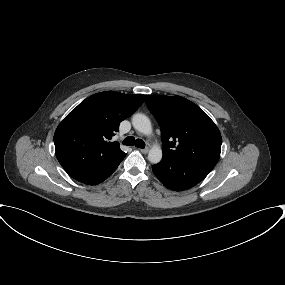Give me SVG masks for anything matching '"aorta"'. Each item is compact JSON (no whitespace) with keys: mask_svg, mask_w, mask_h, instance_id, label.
I'll return each instance as SVG.
<instances>
[{"mask_svg":"<svg viewBox=\"0 0 285 285\" xmlns=\"http://www.w3.org/2000/svg\"><path fill=\"white\" fill-rule=\"evenodd\" d=\"M132 125L133 127L140 133L144 135H150L152 133V125L150 119L142 114L137 113L132 117ZM162 159V150L160 146L154 145L148 153V160L152 164L159 163Z\"/></svg>","mask_w":285,"mask_h":285,"instance_id":"1","label":"aorta"}]
</instances>
